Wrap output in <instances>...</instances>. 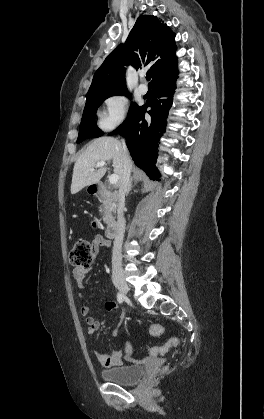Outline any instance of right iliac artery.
<instances>
[{
	"label": "right iliac artery",
	"instance_id": "1",
	"mask_svg": "<svg viewBox=\"0 0 264 419\" xmlns=\"http://www.w3.org/2000/svg\"><path fill=\"white\" fill-rule=\"evenodd\" d=\"M123 300H124L123 295H122L121 293H118V294H117V301H118L119 303H122V302H123Z\"/></svg>",
	"mask_w": 264,
	"mask_h": 419
}]
</instances>
